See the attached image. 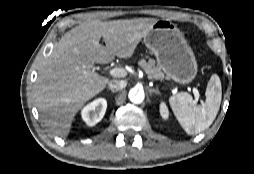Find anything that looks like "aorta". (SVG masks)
Returning a JSON list of instances; mask_svg holds the SVG:
<instances>
[{
  "instance_id": "1",
  "label": "aorta",
  "mask_w": 254,
  "mask_h": 174,
  "mask_svg": "<svg viewBox=\"0 0 254 174\" xmlns=\"http://www.w3.org/2000/svg\"><path fill=\"white\" fill-rule=\"evenodd\" d=\"M129 100L134 104H141L144 101V91L138 88H132L128 94Z\"/></svg>"
}]
</instances>
